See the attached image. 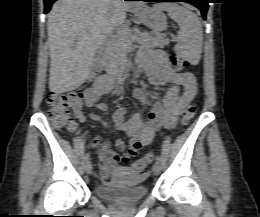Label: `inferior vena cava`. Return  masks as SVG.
Wrapping results in <instances>:
<instances>
[{
	"instance_id": "obj_1",
	"label": "inferior vena cava",
	"mask_w": 260,
	"mask_h": 217,
	"mask_svg": "<svg viewBox=\"0 0 260 217\" xmlns=\"http://www.w3.org/2000/svg\"><path fill=\"white\" fill-rule=\"evenodd\" d=\"M120 0H110V3H111V7L115 10V11H117V7H118V5L120 4Z\"/></svg>"
}]
</instances>
